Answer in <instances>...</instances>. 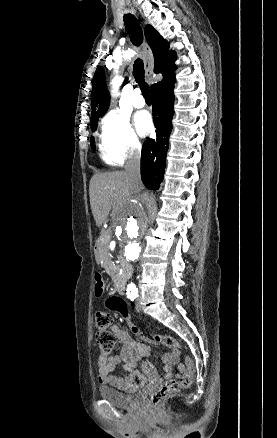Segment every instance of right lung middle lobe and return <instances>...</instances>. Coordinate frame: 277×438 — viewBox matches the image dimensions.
Instances as JSON below:
<instances>
[{
  "label": "right lung middle lobe",
  "mask_w": 277,
  "mask_h": 438,
  "mask_svg": "<svg viewBox=\"0 0 277 438\" xmlns=\"http://www.w3.org/2000/svg\"><path fill=\"white\" fill-rule=\"evenodd\" d=\"M97 121L98 120H95V121H91V129H92V131H95L96 130V128H97ZM91 146H92V149H95V145H94V138L93 137H91Z\"/></svg>",
  "instance_id": "dd1d6c3e"
}]
</instances>
